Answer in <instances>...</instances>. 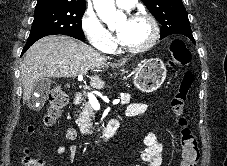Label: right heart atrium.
Returning <instances> with one entry per match:
<instances>
[{"label":"right heart atrium","instance_id":"obj_1","mask_svg":"<svg viewBox=\"0 0 227 166\" xmlns=\"http://www.w3.org/2000/svg\"><path fill=\"white\" fill-rule=\"evenodd\" d=\"M81 29L94 48L103 50L112 48L113 39L94 12L86 11L83 14Z\"/></svg>","mask_w":227,"mask_h":166}]
</instances>
